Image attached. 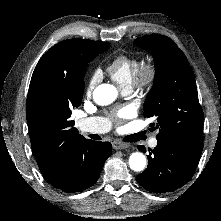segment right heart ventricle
Instances as JSON below:
<instances>
[{"label":"right heart ventricle","instance_id":"1","mask_svg":"<svg viewBox=\"0 0 221 221\" xmlns=\"http://www.w3.org/2000/svg\"><path fill=\"white\" fill-rule=\"evenodd\" d=\"M140 65L139 57L132 54H119L107 64L106 71L111 79L122 88L131 89Z\"/></svg>","mask_w":221,"mask_h":221}]
</instances>
